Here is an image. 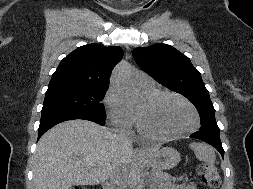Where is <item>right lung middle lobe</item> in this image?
<instances>
[{
  "label": "right lung middle lobe",
  "mask_w": 253,
  "mask_h": 189,
  "mask_svg": "<svg viewBox=\"0 0 253 189\" xmlns=\"http://www.w3.org/2000/svg\"><path fill=\"white\" fill-rule=\"evenodd\" d=\"M108 87L62 86L48 88L41 113H76L105 119L101 103Z\"/></svg>",
  "instance_id": "dd1d6c3e"
}]
</instances>
